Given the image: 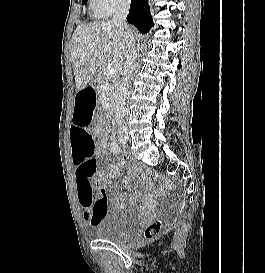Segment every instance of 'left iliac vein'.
Listing matches in <instances>:
<instances>
[{"mask_svg": "<svg viewBox=\"0 0 265 273\" xmlns=\"http://www.w3.org/2000/svg\"><path fill=\"white\" fill-rule=\"evenodd\" d=\"M127 140H128V136H127V135H125V136H124V138L121 140V142H122V143H126V142H127Z\"/></svg>", "mask_w": 265, "mask_h": 273, "instance_id": "4c4485c4", "label": "left iliac vein"}]
</instances>
